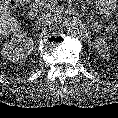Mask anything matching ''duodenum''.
Segmentation results:
<instances>
[{
  "label": "duodenum",
  "mask_w": 118,
  "mask_h": 118,
  "mask_svg": "<svg viewBox=\"0 0 118 118\" xmlns=\"http://www.w3.org/2000/svg\"><path fill=\"white\" fill-rule=\"evenodd\" d=\"M28 2H34L35 0H27Z\"/></svg>",
  "instance_id": "410a0bca"
}]
</instances>
